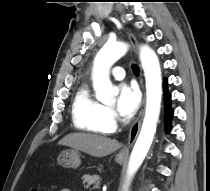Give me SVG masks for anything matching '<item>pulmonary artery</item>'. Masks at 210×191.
Returning a JSON list of instances; mask_svg holds the SVG:
<instances>
[{"label": "pulmonary artery", "instance_id": "pulmonary-artery-1", "mask_svg": "<svg viewBox=\"0 0 210 191\" xmlns=\"http://www.w3.org/2000/svg\"><path fill=\"white\" fill-rule=\"evenodd\" d=\"M125 71L122 67L120 66H117V67H114L112 69V76L113 78H115L116 80H122L125 78Z\"/></svg>", "mask_w": 210, "mask_h": 191}]
</instances>
